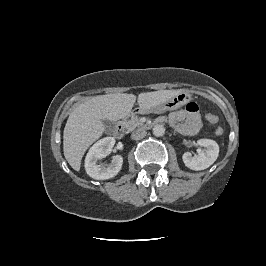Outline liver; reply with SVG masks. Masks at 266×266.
Masks as SVG:
<instances>
[{"label":"liver","instance_id":"6515ba94","mask_svg":"<svg viewBox=\"0 0 266 266\" xmlns=\"http://www.w3.org/2000/svg\"><path fill=\"white\" fill-rule=\"evenodd\" d=\"M181 90H159L140 93L139 108L147 111L179 94ZM136 101L134 94L115 93L87 98L70 113L63 133L64 156L70 166L79 171L88 147L104 130L103 120L117 121L130 115Z\"/></svg>","mask_w":266,"mask_h":266}]
</instances>
